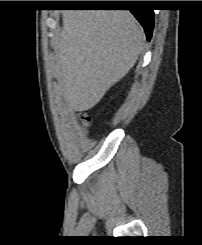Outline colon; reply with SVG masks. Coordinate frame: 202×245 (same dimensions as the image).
<instances>
[{
  "mask_svg": "<svg viewBox=\"0 0 202 245\" xmlns=\"http://www.w3.org/2000/svg\"><path fill=\"white\" fill-rule=\"evenodd\" d=\"M80 121L84 126H88L90 124V118L85 114L80 115Z\"/></svg>",
  "mask_w": 202,
  "mask_h": 245,
  "instance_id": "obj_1",
  "label": "colon"
}]
</instances>
